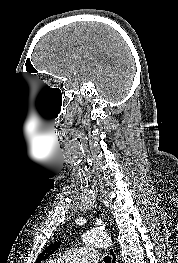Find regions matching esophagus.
I'll list each match as a JSON object with an SVG mask.
<instances>
[{
	"label": "esophagus",
	"instance_id": "1",
	"mask_svg": "<svg viewBox=\"0 0 178 263\" xmlns=\"http://www.w3.org/2000/svg\"><path fill=\"white\" fill-rule=\"evenodd\" d=\"M108 253L111 256V263H117V255L114 248L110 247Z\"/></svg>",
	"mask_w": 178,
	"mask_h": 263
}]
</instances>
